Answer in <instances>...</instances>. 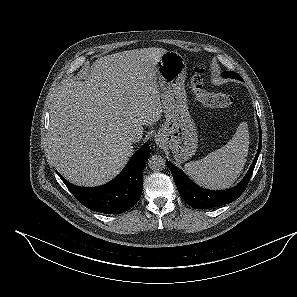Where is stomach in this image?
<instances>
[{
  "label": "stomach",
  "instance_id": "1",
  "mask_svg": "<svg viewBox=\"0 0 297 297\" xmlns=\"http://www.w3.org/2000/svg\"><path fill=\"white\" fill-rule=\"evenodd\" d=\"M186 72L187 62L176 51H166L156 65L165 117L156 139L167 145L180 163L190 159L198 146L197 128L189 112L184 86Z\"/></svg>",
  "mask_w": 297,
  "mask_h": 297
}]
</instances>
